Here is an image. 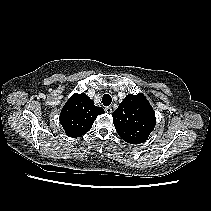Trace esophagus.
Wrapping results in <instances>:
<instances>
[{
  "label": "esophagus",
  "instance_id": "obj_1",
  "mask_svg": "<svg viewBox=\"0 0 211 211\" xmlns=\"http://www.w3.org/2000/svg\"><path fill=\"white\" fill-rule=\"evenodd\" d=\"M105 111L109 114L112 113V107L108 106V107H105Z\"/></svg>",
  "mask_w": 211,
  "mask_h": 211
}]
</instances>
